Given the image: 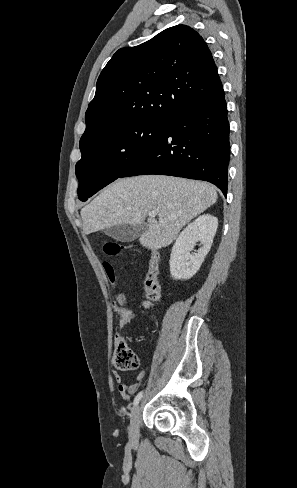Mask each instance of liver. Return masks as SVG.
<instances>
[{
    "instance_id": "liver-1",
    "label": "liver",
    "mask_w": 297,
    "mask_h": 488,
    "mask_svg": "<svg viewBox=\"0 0 297 488\" xmlns=\"http://www.w3.org/2000/svg\"><path fill=\"white\" fill-rule=\"evenodd\" d=\"M216 200L215 188L206 182L162 175L121 178L81 209L83 231L91 234L111 226L141 224L149 212H155L163 221L149 216L139 238L142 246L155 251L170 245L185 224Z\"/></svg>"
}]
</instances>
